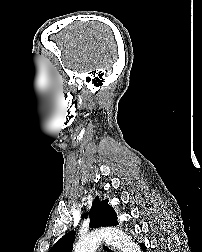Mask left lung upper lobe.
Returning a JSON list of instances; mask_svg holds the SVG:
<instances>
[{
	"instance_id": "5c2ea615",
	"label": "left lung upper lobe",
	"mask_w": 202,
	"mask_h": 252,
	"mask_svg": "<svg viewBox=\"0 0 202 252\" xmlns=\"http://www.w3.org/2000/svg\"><path fill=\"white\" fill-rule=\"evenodd\" d=\"M88 214L90 217V227L115 226L118 224L117 215L114 209L108 205L107 199L100 201L97 196ZM74 240L75 232L71 231L59 239L49 252H71V246Z\"/></svg>"
}]
</instances>
